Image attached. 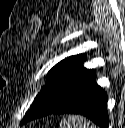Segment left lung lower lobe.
<instances>
[{
  "label": "left lung lower lobe",
  "instance_id": "left-lung-lower-lobe-1",
  "mask_svg": "<svg viewBox=\"0 0 125 128\" xmlns=\"http://www.w3.org/2000/svg\"><path fill=\"white\" fill-rule=\"evenodd\" d=\"M96 74L93 70L87 72L73 89L67 102L52 114H80L92 120L100 128H107L108 96L97 85Z\"/></svg>",
  "mask_w": 125,
  "mask_h": 128
}]
</instances>
